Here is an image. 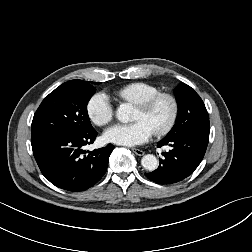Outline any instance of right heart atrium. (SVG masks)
<instances>
[{
    "label": "right heart atrium",
    "instance_id": "d8ad5b80",
    "mask_svg": "<svg viewBox=\"0 0 252 252\" xmlns=\"http://www.w3.org/2000/svg\"><path fill=\"white\" fill-rule=\"evenodd\" d=\"M86 112L90 121L97 126H105L114 117V107L108 97L103 92L95 93L86 104Z\"/></svg>",
    "mask_w": 252,
    "mask_h": 252
}]
</instances>
